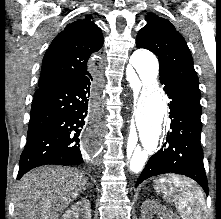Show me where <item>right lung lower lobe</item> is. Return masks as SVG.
<instances>
[{
	"label": "right lung lower lobe",
	"mask_w": 221,
	"mask_h": 219,
	"mask_svg": "<svg viewBox=\"0 0 221 219\" xmlns=\"http://www.w3.org/2000/svg\"><path fill=\"white\" fill-rule=\"evenodd\" d=\"M94 87V76L89 73L36 90L17 180L38 166L83 162L80 141L84 126L92 119ZM90 139L94 143L97 138L94 134Z\"/></svg>",
	"instance_id": "1"
}]
</instances>
